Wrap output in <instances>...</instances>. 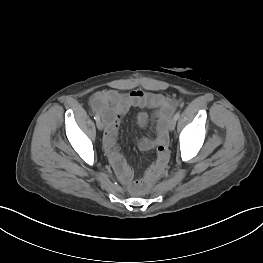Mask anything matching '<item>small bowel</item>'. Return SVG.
I'll return each instance as SVG.
<instances>
[{"mask_svg": "<svg viewBox=\"0 0 263 263\" xmlns=\"http://www.w3.org/2000/svg\"><path fill=\"white\" fill-rule=\"evenodd\" d=\"M90 102L93 110L102 117L105 123L103 136L105 151L118 177L126 185L131 184L133 171L128 166L117 144L118 128L122 116L132 107L153 110L152 116L145 111L140 112L137 121L140 126L146 127L151 117L156 120L155 136L142 138L139 142L142 150L157 149L156 160L148 170L149 176L156 175L168 159L167 121L175 109V102L161 94L140 89L129 92H121L116 89L98 91L92 96Z\"/></svg>", "mask_w": 263, "mask_h": 263, "instance_id": "1", "label": "small bowel"}]
</instances>
